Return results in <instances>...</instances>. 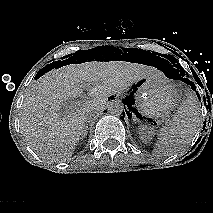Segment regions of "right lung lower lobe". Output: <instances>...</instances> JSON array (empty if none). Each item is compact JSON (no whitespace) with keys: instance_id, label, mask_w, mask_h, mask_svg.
<instances>
[{"instance_id":"98d812e1","label":"right lung lower lobe","mask_w":213,"mask_h":213,"mask_svg":"<svg viewBox=\"0 0 213 213\" xmlns=\"http://www.w3.org/2000/svg\"><path fill=\"white\" fill-rule=\"evenodd\" d=\"M57 64H60V61H57V62H53L52 64H50L51 66L53 65H57ZM49 66H46L45 68H43V69H41L38 73H37V75H36V77H35V79H37V78H39L42 74H44L45 72H46V70L48 71V70H50L52 67H49Z\"/></svg>"}]
</instances>
